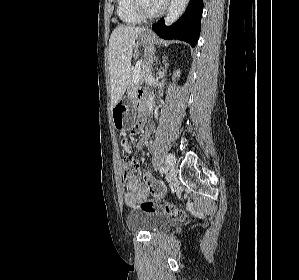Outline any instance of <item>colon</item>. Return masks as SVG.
Returning <instances> with one entry per match:
<instances>
[{
    "label": "colon",
    "mask_w": 299,
    "mask_h": 280,
    "mask_svg": "<svg viewBox=\"0 0 299 280\" xmlns=\"http://www.w3.org/2000/svg\"><path fill=\"white\" fill-rule=\"evenodd\" d=\"M130 139H131L130 134L124 135L122 139V145L124 149H127L128 142L130 141ZM138 167L139 165L136 159H134L130 155L126 156L124 158L123 168H122L123 178L126 179L127 177L132 175L138 169ZM139 207L144 211H159L162 213L170 214L180 221L187 220V215L182 209H179L165 201L147 200L142 202L139 205Z\"/></svg>",
    "instance_id": "1"
}]
</instances>
